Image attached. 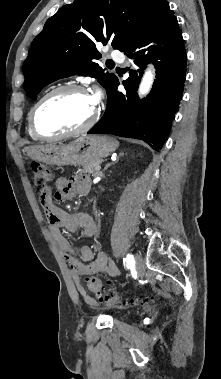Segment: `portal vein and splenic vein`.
I'll return each mask as SVG.
<instances>
[{
	"label": "portal vein and splenic vein",
	"mask_w": 221,
	"mask_h": 379,
	"mask_svg": "<svg viewBox=\"0 0 221 379\" xmlns=\"http://www.w3.org/2000/svg\"><path fill=\"white\" fill-rule=\"evenodd\" d=\"M98 170H100V166H98Z\"/></svg>",
	"instance_id": "1"
}]
</instances>
